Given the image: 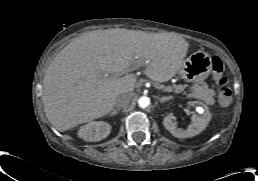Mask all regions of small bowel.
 <instances>
[{
	"label": "small bowel",
	"instance_id": "1",
	"mask_svg": "<svg viewBox=\"0 0 258 181\" xmlns=\"http://www.w3.org/2000/svg\"><path fill=\"white\" fill-rule=\"evenodd\" d=\"M190 95L194 98L203 100L207 104H213L214 92L205 83H198L191 87Z\"/></svg>",
	"mask_w": 258,
	"mask_h": 181
}]
</instances>
